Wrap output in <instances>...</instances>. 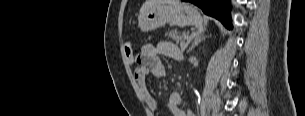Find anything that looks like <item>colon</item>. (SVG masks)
Returning <instances> with one entry per match:
<instances>
[{
	"instance_id": "obj_1",
	"label": "colon",
	"mask_w": 305,
	"mask_h": 116,
	"mask_svg": "<svg viewBox=\"0 0 305 116\" xmlns=\"http://www.w3.org/2000/svg\"><path fill=\"white\" fill-rule=\"evenodd\" d=\"M124 49L127 61L132 64L134 62V50L132 44L130 42H127L125 44Z\"/></svg>"
}]
</instances>
